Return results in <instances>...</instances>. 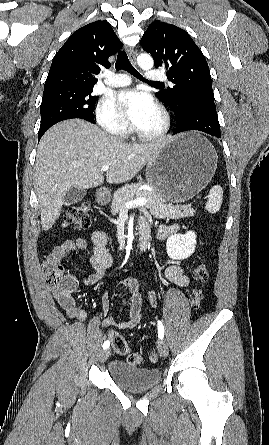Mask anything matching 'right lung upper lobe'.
Segmentation results:
<instances>
[{
    "mask_svg": "<svg viewBox=\"0 0 269 445\" xmlns=\"http://www.w3.org/2000/svg\"><path fill=\"white\" fill-rule=\"evenodd\" d=\"M123 44L111 25L98 20L76 30L53 58L44 91L61 88H93L99 65L110 67L108 57Z\"/></svg>",
    "mask_w": 269,
    "mask_h": 445,
    "instance_id": "right-lung-upper-lobe-1",
    "label": "right lung upper lobe"
}]
</instances>
